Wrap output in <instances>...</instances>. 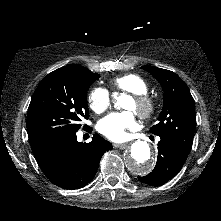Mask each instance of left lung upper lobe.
I'll return each mask as SVG.
<instances>
[{"mask_svg": "<svg viewBox=\"0 0 221 221\" xmlns=\"http://www.w3.org/2000/svg\"><path fill=\"white\" fill-rule=\"evenodd\" d=\"M160 83L164 91L163 108L150 132L171 140L189 154L196 127L194 99L185 82L174 72L150 65L142 66Z\"/></svg>", "mask_w": 221, "mask_h": 221, "instance_id": "obj_1", "label": "left lung upper lobe"}]
</instances>
